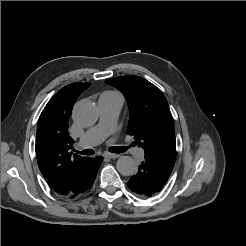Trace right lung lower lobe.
Segmentation results:
<instances>
[{
  "label": "right lung lower lobe",
  "mask_w": 246,
  "mask_h": 246,
  "mask_svg": "<svg viewBox=\"0 0 246 246\" xmlns=\"http://www.w3.org/2000/svg\"><path fill=\"white\" fill-rule=\"evenodd\" d=\"M102 160V156L88 158L82 171L72 179L65 193L59 195L68 199L77 198L83 195L88 189L91 188Z\"/></svg>",
  "instance_id": "obj_1"
}]
</instances>
